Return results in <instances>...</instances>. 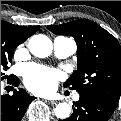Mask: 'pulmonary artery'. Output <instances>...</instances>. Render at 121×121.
I'll return each mask as SVG.
<instances>
[{
	"mask_svg": "<svg viewBox=\"0 0 121 121\" xmlns=\"http://www.w3.org/2000/svg\"><path fill=\"white\" fill-rule=\"evenodd\" d=\"M53 45L55 56L59 59L67 58L73 55L77 50L76 42L65 37L55 38ZM72 98L74 101H78L80 99V95L76 93Z\"/></svg>",
	"mask_w": 121,
	"mask_h": 121,
	"instance_id": "e3ab8cb5",
	"label": "pulmonary artery"
}]
</instances>
